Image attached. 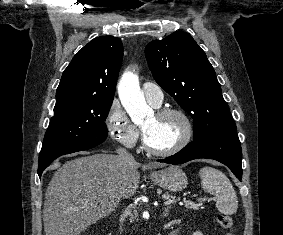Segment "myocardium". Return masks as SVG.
<instances>
[{
	"label": "myocardium",
	"instance_id": "1",
	"mask_svg": "<svg viewBox=\"0 0 283 235\" xmlns=\"http://www.w3.org/2000/svg\"><path fill=\"white\" fill-rule=\"evenodd\" d=\"M155 115L157 117H166L169 115L179 117L183 123L184 130L179 141L174 146L166 150H158L151 147L147 141L145 132L143 131V148L146 152L154 156L168 157L177 154L191 142L194 134L193 123L187 113H185L183 110L178 108L166 107L159 109Z\"/></svg>",
	"mask_w": 283,
	"mask_h": 235
}]
</instances>
